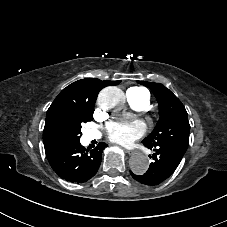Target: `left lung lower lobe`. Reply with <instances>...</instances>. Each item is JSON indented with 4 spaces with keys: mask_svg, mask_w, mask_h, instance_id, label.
<instances>
[{
    "mask_svg": "<svg viewBox=\"0 0 227 227\" xmlns=\"http://www.w3.org/2000/svg\"><path fill=\"white\" fill-rule=\"evenodd\" d=\"M146 147L154 151L152 155L154 162L143 175H135L131 171L130 173L134 179L143 184L158 185L173 174L185 153L166 144Z\"/></svg>",
    "mask_w": 227,
    "mask_h": 227,
    "instance_id": "obj_1",
    "label": "left lung lower lobe"
}]
</instances>
